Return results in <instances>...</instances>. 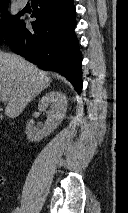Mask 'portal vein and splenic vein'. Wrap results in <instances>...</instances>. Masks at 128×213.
Segmentation results:
<instances>
[{
    "mask_svg": "<svg viewBox=\"0 0 128 213\" xmlns=\"http://www.w3.org/2000/svg\"><path fill=\"white\" fill-rule=\"evenodd\" d=\"M0 101H6L5 98L0 96Z\"/></svg>",
    "mask_w": 128,
    "mask_h": 213,
    "instance_id": "obj_1",
    "label": "portal vein and splenic vein"
}]
</instances>
